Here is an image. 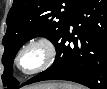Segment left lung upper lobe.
<instances>
[{"label": "left lung upper lobe", "mask_w": 107, "mask_h": 89, "mask_svg": "<svg viewBox=\"0 0 107 89\" xmlns=\"http://www.w3.org/2000/svg\"><path fill=\"white\" fill-rule=\"evenodd\" d=\"M81 1L13 0L7 16V31L2 41L5 48L2 81L7 89L19 86V82L12 77V63L20 47L37 36H44L54 43Z\"/></svg>", "instance_id": "left-lung-upper-lobe-1"}]
</instances>
